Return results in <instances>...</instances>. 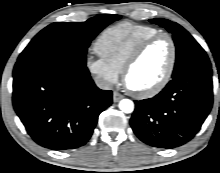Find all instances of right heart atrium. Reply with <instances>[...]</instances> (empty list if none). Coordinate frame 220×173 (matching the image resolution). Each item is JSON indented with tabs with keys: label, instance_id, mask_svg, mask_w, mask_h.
Segmentation results:
<instances>
[{
	"label": "right heart atrium",
	"instance_id": "obj_1",
	"mask_svg": "<svg viewBox=\"0 0 220 173\" xmlns=\"http://www.w3.org/2000/svg\"><path fill=\"white\" fill-rule=\"evenodd\" d=\"M86 66L90 73L96 76L100 84L104 87L114 85L118 79L120 72L107 63L102 57H94L89 55L86 59Z\"/></svg>",
	"mask_w": 220,
	"mask_h": 173
}]
</instances>
